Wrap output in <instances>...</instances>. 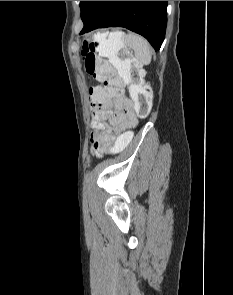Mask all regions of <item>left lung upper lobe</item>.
Instances as JSON below:
<instances>
[{"label": "left lung upper lobe", "mask_w": 233, "mask_h": 295, "mask_svg": "<svg viewBox=\"0 0 233 295\" xmlns=\"http://www.w3.org/2000/svg\"><path fill=\"white\" fill-rule=\"evenodd\" d=\"M96 1H80L81 19L83 23L88 19Z\"/></svg>", "instance_id": "obj_1"}]
</instances>
